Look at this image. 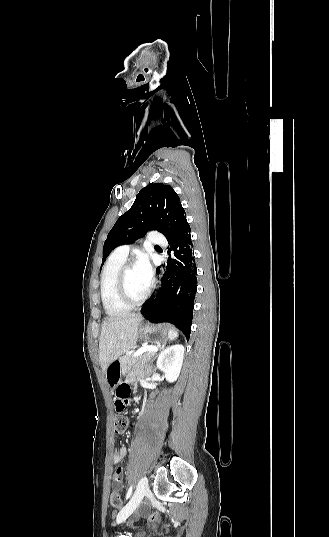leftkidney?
Returning <instances> with one entry per match:
<instances>
[{
	"label": "left kidney",
	"mask_w": 329,
	"mask_h": 537,
	"mask_svg": "<svg viewBox=\"0 0 329 537\" xmlns=\"http://www.w3.org/2000/svg\"><path fill=\"white\" fill-rule=\"evenodd\" d=\"M184 353L183 345H171L159 355L157 367L165 373L168 382H174L179 377Z\"/></svg>",
	"instance_id": "5707ae66"
}]
</instances>
